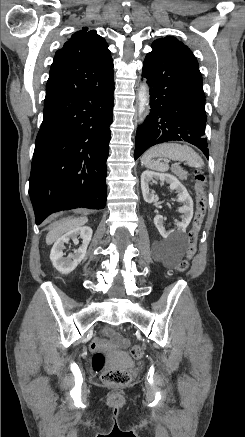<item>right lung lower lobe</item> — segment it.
I'll list each match as a JSON object with an SVG mask.
<instances>
[{"label":"right lung lower lobe","instance_id":"obj_1","mask_svg":"<svg viewBox=\"0 0 245 437\" xmlns=\"http://www.w3.org/2000/svg\"><path fill=\"white\" fill-rule=\"evenodd\" d=\"M113 92L112 79L44 108L29 181L37 225L61 210L105 207Z\"/></svg>","mask_w":245,"mask_h":437}]
</instances>
